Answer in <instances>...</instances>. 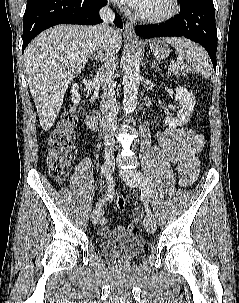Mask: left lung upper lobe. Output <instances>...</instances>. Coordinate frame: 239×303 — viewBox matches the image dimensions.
Here are the masks:
<instances>
[{"label":"left lung upper lobe","mask_w":239,"mask_h":303,"mask_svg":"<svg viewBox=\"0 0 239 303\" xmlns=\"http://www.w3.org/2000/svg\"><path fill=\"white\" fill-rule=\"evenodd\" d=\"M179 1H180V4H182V3H186V2H188L190 0H179Z\"/></svg>","instance_id":"obj_1"}]
</instances>
